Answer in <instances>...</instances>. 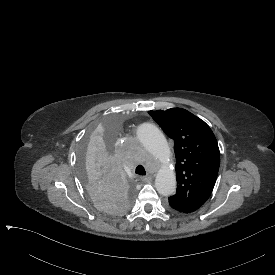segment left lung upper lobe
Masks as SVG:
<instances>
[{
	"label": "left lung upper lobe",
	"instance_id": "left-lung-upper-lobe-1",
	"mask_svg": "<svg viewBox=\"0 0 275 275\" xmlns=\"http://www.w3.org/2000/svg\"><path fill=\"white\" fill-rule=\"evenodd\" d=\"M175 142L176 194L170 207L185 213L199 209L209 198L217 178L220 152L210 127L182 108L149 111Z\"/></svg>",
	"mask_w": 275,
	"mask_h": 275
}]
</instances>
